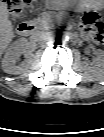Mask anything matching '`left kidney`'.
<instances>
[{"label": "left kidney", "instance_id": "left-kidney-1", "mask_svg": "<svg viewBox=\"0 0 104 137\" xmlns=\"http://www.w3.org/2000/svg\"><path fill=\"white\" fill-rule=\"evenodd\" d=\"M103 51L101 50H97L96 51V58H95V63L97 64L98 67H102L103 66Z\"/></svg>", "mask_w": 104, "mask_h": 137}]
</instances>
